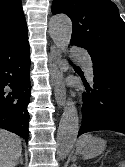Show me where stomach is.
Returning <instances> with one entry per match:
<instances>
[{
	"mask_svg": "<svg viewBox=\"0 0 125 167\" xmlns=\"http://www.w3.org/2000/svg\"><path fill=\"white\" fill-rule=\"evenodd\" d=\"M106 148V141L91 137L78 147V152L86 159L93 158L101 154Z\"/></svg>",
	"mask_w": 125,
	"mask_h": 167,
	"instance_id": "1",
	"label": "stomach"
}]
</instances>
